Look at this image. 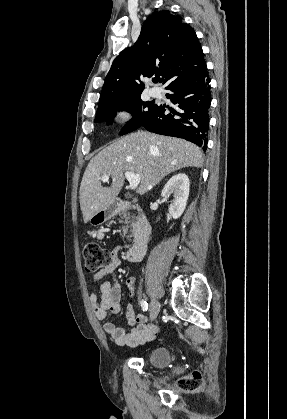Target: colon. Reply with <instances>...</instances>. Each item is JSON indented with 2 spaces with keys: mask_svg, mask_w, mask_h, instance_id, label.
<instances>
[{
  "mask_svg": "<svg viewBox=\"0 0 287 419\" xmlns=\"http://www.w3.org/2000/svg\"><path fill=\"white\" fill-rule=\"evenodd\" d=\"M83 254L85 258V267L89 272L98 271L107 266L111 260L109 250L96 243H89L84 246ZM203 384V378L199 371L195 370L192 374L181 378L178 385L183 390H197Z\"/></svg>",
  "mask_w": 287,
  "mask_h": 419,
  "instance_id": "obj_1",
  "label": "colon"
}]
</instances>
